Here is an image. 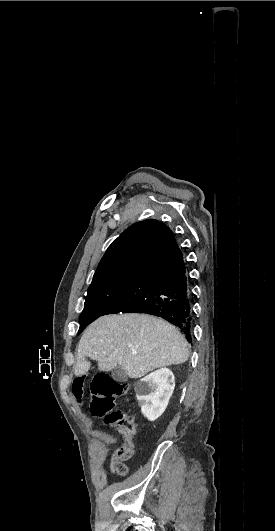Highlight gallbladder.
Segmentation results:
<instances>
[{"instance_id":"gallbladder-1","label":"gallbladder","mask_w":275,"mask_h":531,"mask_svg":"<svg viewBox=\"0 0 275 531\" xmlns=\"http://www.w3.org/2000/svg\"><path fill=\"white\" fill-rule=\"evenodd\" d=\"M111 377L114 381H119V383H125V381H128V375L120 365H117L115 369H112Z\"/></svg>"}]
</instances>
